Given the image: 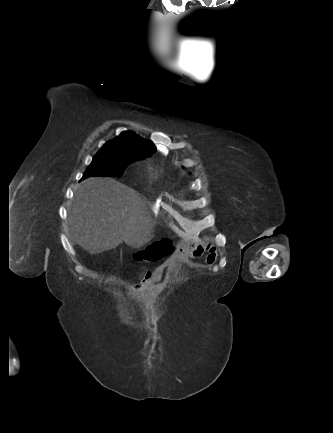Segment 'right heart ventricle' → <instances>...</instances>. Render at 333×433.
Wrapping results in <instances>:
<instances>
[{"label": "right heart ventricle", "instance_id": "obj_1", "mask_svg": "<svg viewBox=\"0 0 333 433\" xmlns=\"http://www.w3.org/2000/svg\"><path fill=\"white\" fill-rule=\"evenodd\" d=\"M151 176H152V178H154V179L157 177V171H156L155 168H152V169H151Z\"/></svg>", "mask_w": 333, "mask_h": 433}]
</instances>
